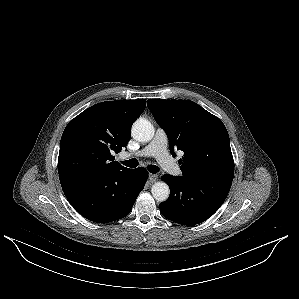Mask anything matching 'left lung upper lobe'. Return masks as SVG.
Segmentation results:
<instances>
[{
  "label": "left lung upper lobe",
  "instance_id": "obj_1",
  "mask_svg": "<svg viewBox=\"0 0 299 299\" xmlns=\"http://www.w3.org/2000/svg\"><path fill=\"white\" fill-rule=\"evenodd\" d=\"M147 105L166 131L172 153L184 152L179 160L183 177L233 180L229 135L218 117L189 100L149 99Z\"/></svg>",
  "mask_w": 299,
  "mask_h": 299
}]
</instances>
